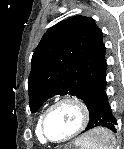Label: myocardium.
Here are the masks:
<instances>
[{"label":"myocardium","instance_id":"f54148a6","mask_svg":"<svg viewBox=\"0 0 124 149\" xmlns=\"http://www.w3.org/2000/svg\"><path fill=\"white\" fill-rule=\"evenodd\" d=\"M64 104H72L78 109L79 115H80V123H79L77 129L73 133H71L69 136H67L66 138L61 139V140H53L47 135L46 121H47L50 113L55 108L62 106ZM89 119H90L89 108L85 104L84 101H82L81 99H79L77 97H73V96L72 97H64V98L56 101L55 103H53L51 106H49L47 108V110L43 113V115L41 117V121H40V132H41L43 139L48 143H52V144L66 143V142L74 139L78 135H80L86 129V127L89 123Z\"/></svg>","mask_w":124,"mask_h":149}]
</instances>
